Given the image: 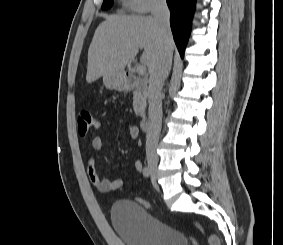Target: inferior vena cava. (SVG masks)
<instances>
[{
  "instance_id": "1",
  "label": "inferior vena cava",
  "mask_w": 283,
  "mask_h": 245,
  "mask_svg": "<svg viewBox=\"0 0 283 245\" xmlns=\"http://www.w3.org/2000/svg\"><path fill=\"white\" fill-rule=\"evenodd\" d=\"M152 14L158 23L160 38L163 42L162 56L150 73L148 87L149 122L146 134V156L147 159L157 160L156 148L162 126V95L161 91L172 64V52L169 43L172 40L170 29V12L166 0H153Z\"/></svg>"
}]
</instances>
